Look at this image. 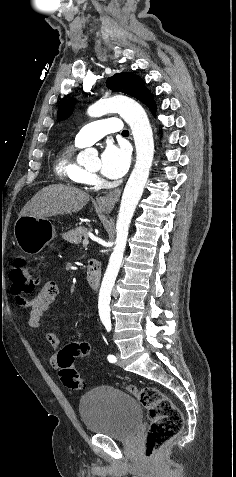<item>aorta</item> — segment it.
Masks as SVG:
<instances>
[{"label": "aorta", "mask_w": 236, "mask_h": 477, "mask_svg": "<svg viewBox=\"0 0 236 477\" xmlns=\"http://www.w3.org/2000/svg\"><path fill=\"white\" fill-rule=\"evenodd\" d=\"M111 112L119 113L129 124L136 147V162L124 188L116 223V245L100 287L98 309L101 320H110L111 291L123 260L131 219L142 196L154 156L153 133L143 107L129 97L116 95L100 99L87 111L91 117H100ZM94 153L93 149H86L81 156L88 158Z\"/></svg>", "instance_id": "aorta-1"}]
</instances>
